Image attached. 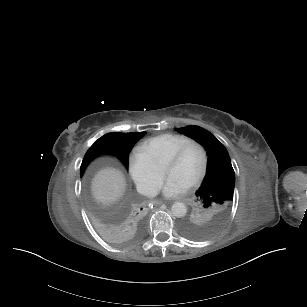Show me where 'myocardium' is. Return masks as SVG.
<instances>
[{
  "label": "myocardium",
  "mask_w": 307,
  "mask_h": 307,
  "mask_svg": "<svg viewBox=\"0 0 307 307\" xmlns=\"http://www.w3.org/2000/svg\"><path fill=\"white\" fill-rule=\"evenodd\" d=\"M194 144H198L202 151H203V156H204V162H203V167L200 171V173L188 184L189 187H193L198 185L206 176L207 172H208V168H209V153H208V149L206 147V145L197 139H191L187 142H185L183 145H181L173 154L169 155L163 163V167H165L166 165L170 164V163H174L179 161L184 154L186 153V151L188 150V148Z\"/></svg>",
  "instance_id": "obj_1"
}]
</instances>
